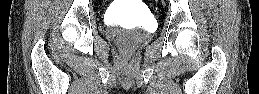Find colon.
Masks as SVG:
<instances>
[{
    "instance_id": "1",
    "label": "colon",
    "mask_w": 259,
    "mask_h": 94,
    "mask_svg": "<svg viewBox=\"0 0 259 94\" xmlns=\"http://www.w3.org/2000/svg\"><path fill=\"white\" fill-rule=\"evenodd\" d=\"M123 63L126 65V66H129L131 64V57L129 55V53L126 51L124 53V56H123Z\"/></svg>"
}]
</instances>
